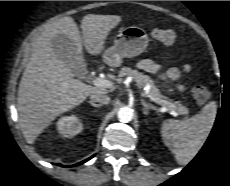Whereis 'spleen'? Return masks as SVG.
I'll return each mask as SVG.
<instances>
[{
    "instance_id": "1",
    "label": "spleen",
    "mask_w": 230,
    "mask_h": 186,
    "mask_svg": "<svg viewBox=\"0 0 230 186\" xmlns=\"http://www.w3.org/2000/svg\"><path fill=\"white\" fill-rule=\"evenodd\" d=\"M217 113L215 101L207 103L195 116L184 119H168L162 123L161 136L181 165L188 164L208 138Z\"/></svg>"
}]
</instances>
